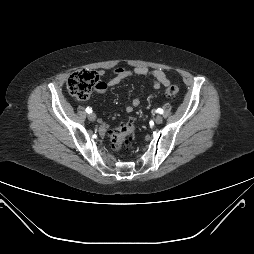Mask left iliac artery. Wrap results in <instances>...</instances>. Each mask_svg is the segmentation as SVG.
<instances>
[{
    "label": "left iliac artery",
    "instance_id": "1",
    "mask_svg": "<svg viewBox=\"0 0 254 254\" xmlns=\"http://www.w3.org/2000/svg\"><path fill=\"white\" fill-rule=\"evenodd\" d=\"M156 112L159 113V114H162L163 110L159 108V109L156 110Z\"/></svg>",
    "mask_w": 254,
    "mask_h": 254
}]
</instances>
